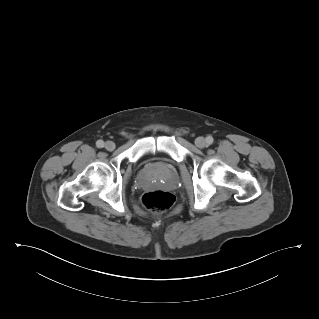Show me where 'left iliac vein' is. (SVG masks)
<instances>
[{
  "mask_svg": "<svg viewBox=\"0 0 319 319\" xmlns=\"http://www.w3.org/2000/svg\"><path fill=\"white\" fill-rule=\"evenodd\" d=\"M206 140L203 138V137H198L196 138L195 140V145L198 147V148H204L206 146Z\"/></svg>",
  "mask_w": 319,
  "mask_h": 319,
  "instance_id": "1",
  "label": "left iliac vein"
}]
</instances>
